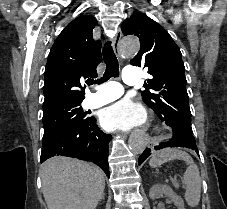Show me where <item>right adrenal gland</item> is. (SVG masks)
I'll list each match as a JSON object with an SVG mask.
<instances>
[{
	"mask_svg": "<svg viewBox=\"0 0 227 209\" xmlns=\"http://www.w3.org/2000/svg\"><path fill=\"white\" fill-rule=\"evenodd\" d=\"M101 199H104V195H102Z\"/></svg>",
	"mask_w": 227,
	"mask_h": 209,
	"instance_id": "2a0ac1e0",
	"label": "right adrenal gland"
}]
</instances>
